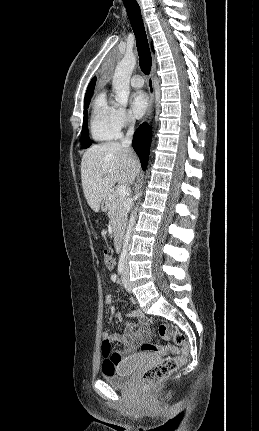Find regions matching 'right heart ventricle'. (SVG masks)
Here are the masks:
<instances>
[{"label":"right heart ventricle","instance_id":"right-heart-ventricle-1","mask_svg":"<svg viewBox=\"0 0 259 431\" xmlns=\"http://www.w3.org/2000/svg\"><path fill=\"white\" fill-rule=\"evenodd\" d=\"M114 107L109 105L104 92L96 95L92 102L89 129L97 142H108L119 138L120 130L113 121Z\"/></svg>","mask_w":259,"mask_h":431}]
</instances>
